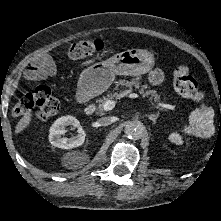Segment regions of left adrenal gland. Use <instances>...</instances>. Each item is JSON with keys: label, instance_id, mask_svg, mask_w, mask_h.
Masks as SVG:
<instances>
[{"label": "left adrenal gland", "instance_id": "left-adrenal-gland-1", "mask_svg": "<svg viewBox=\"0 0 221 221\" xmlns=\"http://www.w3.org/2000/svg\"><path fill=\"white\" fill-rule=\"evenodd\" d=\"M146 116L153 122V124H155L156 120L159 117V113H157L156 115L155 114H147Z\"/></svg>", "mask_w": 221, "mask_h": 221}]
</instances>
